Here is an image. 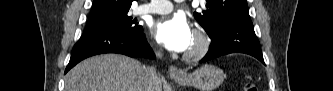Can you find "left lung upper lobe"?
I'll list each match as a JSON object with an SVG mask.
<instances>
[{"label": "left lung upper lobe", "mask_w": 333, "mask_h": 91, "mask_svg": "<svg viewBox=\"0 0 333 91\" xmlns=\"http://www.w3.org/2000/svg\"><path fill=\"white\" fill-rule=\"evenodd\" d=\"M207 10L194 12L195 19L205 29L209 37L214 35L224 24L250 18L246 0H206Z\"/></svg>", "instance_id": "left-lung-upper-lobe-1"}]
</instances>
